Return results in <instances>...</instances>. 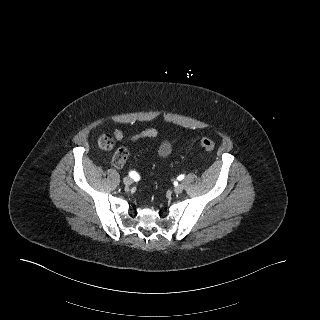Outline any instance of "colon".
<instances>
[{"instance_id":"1","label":"colon","mask_w":320,"mask_h":320,"mask_svg":"<svg viewBox=\"0 0 320 320\" xmlns=\"http://www.w3.org/2000/svg\"><path fill=\"white\" fill-rule=\"evenodd\" d=\"M99 144L103 149H111L113 147V139L108 134H103L99 138ZM200 146L206 151H213L215 148V143L210 138H201L199 140ZM128 158V151L125 148L118 149L113 156V164L117 167L124 165Z\"/></svg>"}]
</instances>
